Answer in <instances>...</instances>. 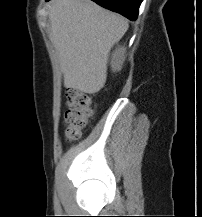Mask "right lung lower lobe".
<instances>
[{
  "label": "right lung lower lobe",
  "mask_w": 202,
  "mask_h": 217,
  "mask_svg": "<svg viewBox=\"0 0 202 217\" xmlns=\"http://www.w3.org/2000/svg\"><path fill=\"white\" fill-rule=\"evenodd\" d=\"M49 1V0H47ZM97 4L134 21L137 19L139 6L142 0H92Z\"/></svg>",
  "instance_id": "1"
}]
</instances>
